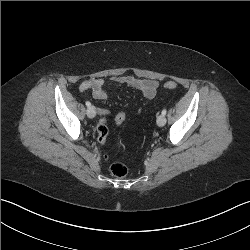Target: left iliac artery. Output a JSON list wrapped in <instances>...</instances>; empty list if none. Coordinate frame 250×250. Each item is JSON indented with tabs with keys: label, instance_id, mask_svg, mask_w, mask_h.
<instances>
[{
	"label": "left iliac artery",
	"instance_id": "44dca946",
	"mask_svg": "<svg viewBox=\"0 0 250 250\" xmlns=\"http://www.w3.org/2000/svg\"><path fill=\"white\" fill-rule=\"evenodd\" d=\"M166 113H167V111H166V109H164V110H162V115H166Z\"/></svg>",
	"mask_w": 250,
	"mask_h": 250
}]
</instances>
